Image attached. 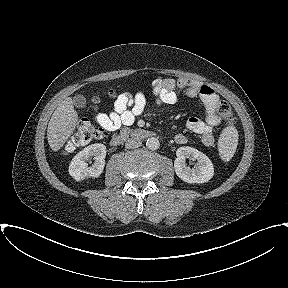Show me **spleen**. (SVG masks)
Wrapping results in <instances>:
<instances>
[{
  "label": "spleen",
  "mask_w": 288,
  "mask_h": 288,
  "mask_svg": "<svg viewBox=\"0 0 288 288\" xmlns=\"http://www.w3.org/2000/svg\"><path fill=\"white\" fill-rule=\"evenodd\" d=\"M238 145V132L234 126L226 127L220 135L218 149L223 161H229Z\"/></svg>",
  "instance_id": "obj_1"
}]
</instances>
